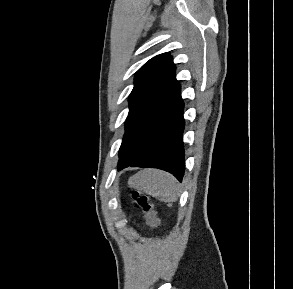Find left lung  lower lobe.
Wrapping results in <instances>:
<instances>
[{
  "instance_id": "1",
  "label": "left lung lower lobe",
  "mask_w": 293,
  "mask_h": 289,
  "mask_svg": "<svg viewBox=\"0 0 293 289\" xmlns=\"http://www.w3.org/2000/svg\"><path fill=\"white\" fill-rule=\"evenodd\" d=\"M183 101L179 83L125 132L123 145L132 157L118 166L158 168L182 181L185 163Z\"/></svg>"
}]
</instances>
